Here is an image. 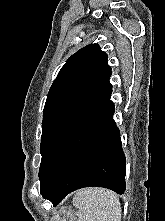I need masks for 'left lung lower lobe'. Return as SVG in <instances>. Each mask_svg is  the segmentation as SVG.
Instances as JSON below:
<instances>
[{
	"label": "left lung lower lobe",
	"mask_w": 165,
	"mask_h": 221,
	"mask_svg": "<svg viewBox=\"0 0 165 221\" xmlns=\"http://www.w3.org/2000/svg\"><path fill=\"white\" fill-rule=\"evenodd\" d=\"M111 90L59 140L39 176L40 191L54 206L70 192L90 186L123 194L126 159L113 120Z\"/></svg>",
	"instance_id": "1"
}]
</instances>
